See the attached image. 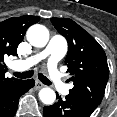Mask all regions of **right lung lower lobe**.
<instances>
[{"instance_id": "obj_1", "label": "right lung lower lobe", "mask_w": 117, "mask_h": 117, "mask_svg": "<svg viewBox=\"0 0 117 117\" xmlns=\"http://www.w3.org/2000/svg\"><path fill=\"white\" fill-rule=\"evenodd\" d=\"M35 84L33 79L20 80L0 97V117H13L16 113L19 98Z\"/></svg>"}]
</instances>
